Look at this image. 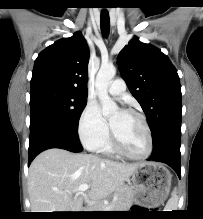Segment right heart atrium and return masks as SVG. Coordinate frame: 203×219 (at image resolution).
Listing matches in <instances>:
<instances>
[{
    "instance_id": "d8ad5b80",
    "label": "right heart atrium",
    "mask_w": 203,
    "mask_h": 219,
    "mask_svg": "<svg viewBox=\"0 0 203 219\" xmlns=\"http://www.w3.org/2000/svg\"><path fill=\"white\" fill-rule=\"evenodd\" d=\"M78 134L82 144L90 150H99L109 139V125L95 103L85 105L78 122Z\"/></svg>"
}]
</instances>
